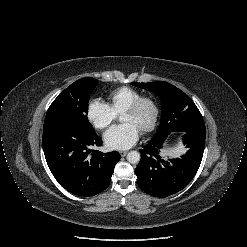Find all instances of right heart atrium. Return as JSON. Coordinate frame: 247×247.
Returning a JSON list of instances; mask_svg holds the SVG:
<instances>
[{
  "instance_id": "obj_1",
  "label": "right heart atrium",
  "mask_w": 247,
  "mask_h": 247,
  "mask_svg": "<svg viewBox=\"0 0 247 247\" xmlns=\"http://www.w3.org/2000/svg\"><path fill=\"white\" fill-rule=\"evenodd\" d=\"M86 115L90 123L99 130L107 128L116 118V113L101 99H91L87 104Z\"/></svg>"
}]
</instances>
